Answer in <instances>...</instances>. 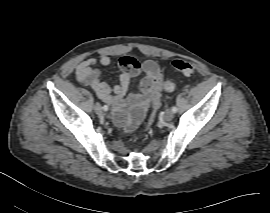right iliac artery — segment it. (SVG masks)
Returning a JSON list of instances; mask_svg holds the SVG:
<instances>
[{
    "instance_id": "obj_1",
    "label": "right iliac artery",
    "mask_w": 270,
    "mask_h": 213,
    "mask_svg": "<svg viewBox=\"0 0 270 213\" xmlns=\"http://www.w3.org/2000/svg\"><path fill=\"white\" fill-rule=\"evenodd\" d=\"M103 110H104V111H107V110H108V106H107V105H104V106H103Z\"/></svg>"
}]
</instances>
